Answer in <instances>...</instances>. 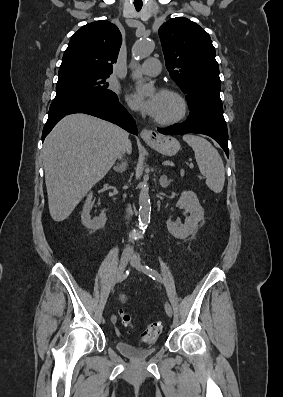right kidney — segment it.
Masks as SVG:
<instances>
[{"instance_id": "right-kidney-1", "label": "right kidney", "mask_w": 283, "mask_h": 397, "mask_svg": "<svg viewBox=\"0 0 283 397\" xmlns=\"http://www.w3.org/2000/svg\"><path fill=\"white\" fill-rule=\"evenodd\" d=\"M91 200H92V192H90L87 196V199H86V202L84 204L83 211L81 214V221H82V224L86 228H88L92 231H96V230L101 229L105 226L107 218H106V214L102 213L98 217L91 219V215H90Z\"/></svg>"}]
</instances>
